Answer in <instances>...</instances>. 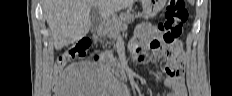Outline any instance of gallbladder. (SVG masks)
<instances>
[{
  "label": "gallbladder",
  "mask_w": 232,
  "mask_h": 96,
  "mask_svg": "<svg viewBox=\"0 0 232 96\" xmlns=\"http://www.w3.org/2000/svg\"><path fill=\"white\" fill-rule=\"evenodd\" d=\"M90 20H91V32L95 33L100 28L101 16L100 11L97 7L93 6L90 11Z\"/></svg>",
  "instance_id": "gallbladder-1"
}]
</instances>
